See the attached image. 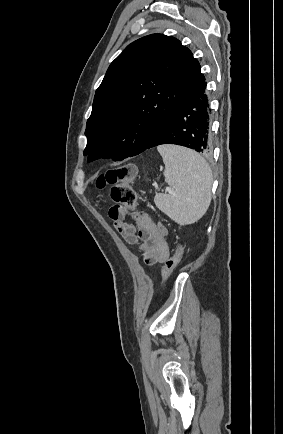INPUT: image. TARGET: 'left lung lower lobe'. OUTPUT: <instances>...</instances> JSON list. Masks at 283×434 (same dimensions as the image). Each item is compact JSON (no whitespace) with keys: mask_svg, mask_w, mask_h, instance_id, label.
I'll return each instance as SVG.
<instances>
[{"mask_svg":"<svg viewBox=\"0 0 283 434\" xmlns=\"http://www.w3.org/2000/svg\"><path fill=\"white\" fill-rule=\"evenodd\" d=\"M206 88L207 82L204 80L190 89L179 100L169 112L146 149L161 144H177L204 154L210 153L211 110Z\"/></svg>","mask_w":283,"mask_h":434,"instance_id":"obj_1","label":"left lung lower lobe"}]
</instances>
